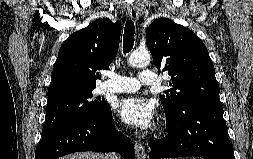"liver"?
I'll return each instance as SVG.
<instances>
[{
    "label": "liver",
    "instance_id": "6515ba94",
    "mask_svg": "<svg viewBox=\"0 0 253 159\" xmlns=\"http://www.w3.org/2000/svg\"><path fill=\"white\" fill-rule=\"evenodd\" d=\"M60 159H107V155L95 152H78L61 157Z\"/></svg>",
    "mask_w": 253,
    "mask_h": 159
}]
</instances>
